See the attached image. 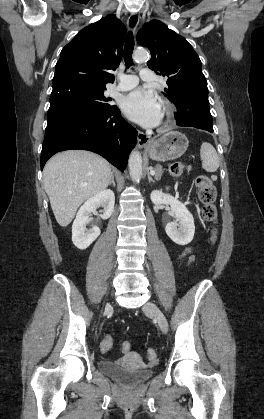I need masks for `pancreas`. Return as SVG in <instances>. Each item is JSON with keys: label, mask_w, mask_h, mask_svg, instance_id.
Here are the masks:
<instances>
[{"label": "pancreas", "mask_w": 264, "mask_h": 419, "mask_svg": "<svg viewBox=\"0 0 264 419\" xmlns=\"http://www.w3.org/2000/svg\"><path fill=\"white\" fill-rule=\"evenodd\" d=\"M154 171H155V175H154L155 179L159 180L163 173L162 166L160 165L155 166Z\"/></svg>", "instance_id": "obj_1"}]
</instances>
